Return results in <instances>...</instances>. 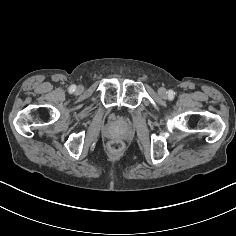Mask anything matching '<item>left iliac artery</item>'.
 Segmentation results:
<instances>
[{
    "instance_id": "obj_1",
    "label": "left iliac artery",
    "mask_w": 236,
    "mask_h": 236,
    "mask_svg": "<svg viewBox=\"0 0 236 236\" xmlns=\"http://www.w3.org/2000/svg\"><path fill=\"white\" fill-rule=\"evenodd\" d=\"M173 94H174V93H173V91H171V90L168 92V95H169L170 97H172Z\"/></svg>"
}]
</instances>
